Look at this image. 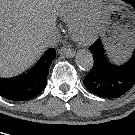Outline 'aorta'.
<instances>
[{"instance_id": "762f6f07", "label": "aorta", "mask_w": 135, "mask_h": 135, "mask_svg": "<svg viewBox=\"0 0 135 135\" xmlns=\"http://www.w3.org/2000/svg\"><path fill=\"white\" fill-rule=\"evenodd\" d=\"M75 62L80 69L89 71L94 64L93 55L88 50H79L75 55Z\"/></svg>"}]
</instances>
